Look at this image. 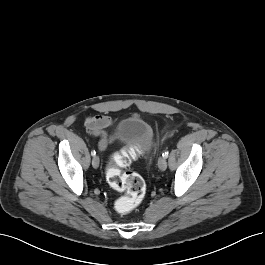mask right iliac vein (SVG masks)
<instances>
[{
  "instance_id": "1",
  "label": "right iliac vein",
  "mask_w": 265,
  "mask_h": 265,
  "mask_svg": "<svg viewBox=\"0 0 265 265\" xmlns=\"http://www.w3.org/2000/svg\"><path fill=\"white\" fill-rule=\"evenodd\" d=\"M99 163H100L99 157L98 156H94L93 159H92V166L94 168H98L99 167Z\"/></svg>"
}]
</instances>
